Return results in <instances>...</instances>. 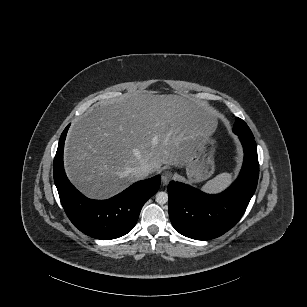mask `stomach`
I'll return each instance as SVG.
<instances>
[{
    "instance_id": "1",
    "label": "stomach",
    "mask_w": 307,
    "mask_h": 307,
    "mask_svg": "<svg viewBox=\"0 0 307 307\" xmlns=\"http://www.w3.org/2000/svg\"><path fill=\"white\" fill-rule=\"evenodd\" d=\"M215 140L211 138L200 140L193 154L186 163L187 176L190 182H200L210 177L215 168Z\"/></svg>"
}]
</instances>
